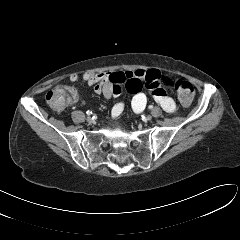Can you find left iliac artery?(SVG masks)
Instances as JSON below:
<instances>
[{
  "label": "left iliac artery",
  "instance_id": "obj_1",
  "mask_svg": "<svg viewBox=\"0 0 240 240\" xmlns=\"http://www.w3.org/2000/svg\"><path fill=\"white\" fill-rule=\"evenodd\" d=\"M148 108H149V109H152V108H153V106H152V105H150Z\"/></svg>",
  "mask_w": 240,
  "mask_h": 240
}]
</instances>
